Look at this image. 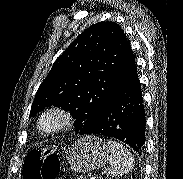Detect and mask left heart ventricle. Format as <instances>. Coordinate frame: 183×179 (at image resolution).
I'll return each instance as SVG.
<instances>
[{
	"label": "left heart ventricle",
	"mask_w": 183,
	"mask_h": 179,
	"mask_svg": "<svg viewBox=\"0 0 183 179\" xmlns=\"http://www.w3.org/2000/svg\"><path fill=\"white\" fill-rule=\"evenodd\" d=\"M56 123H57V119L54 118V117H50V118H48V119L45 120L44 126H45V128H51V127H53Z\"/></svg>",
	"instance_id": "1"
}]
</instances>
